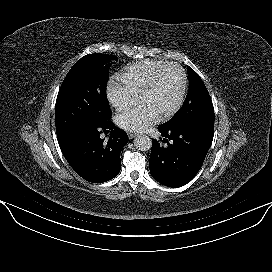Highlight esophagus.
Here are the masks:
<instances>
[{
  "instance_id": "esophagus-1",
  "label": "esophagus",
  "mask_w": 272,
  "mask_h": 272,
  "mask_svg": "<svg viewBox=\"0 0 272 272\" xmlns=\"http://www.w3.org/2000/svg\"><path fill=\"white\" fill-rule=\"evenodd\" d=\"M135 136H137L136 133H132V132H129V133H128L129 139H133Z\"/></svg>"
}]
</instances>
